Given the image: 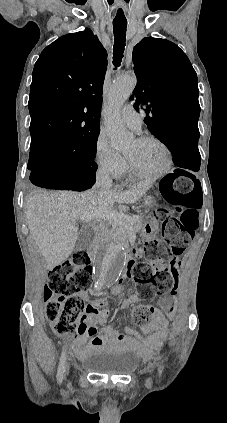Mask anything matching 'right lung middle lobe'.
Returning a JSON list of instances; mask_svg holds the SVG:
<instances>
[{
  "instance_id": "1",
  "label": "right lung middle lobe",
  "mask_w": 227,
  "mask_h": 423,
  "mask_svg": "<svg viewBox=\"0 0 227 423\" xmlns=\"http://www.w3.org/2000/svg\"><path fill=\"white\" fill-rule=\"evenodd\" d=\"M98 133L91 134L80 141L78 144L60 149H51L42 152L30 153L28 169L34 170L44 167V163L51 158H58L66 161L83 163L91 167L94 165L96 155V144Z\"/></svg>"
}]
</instances>
